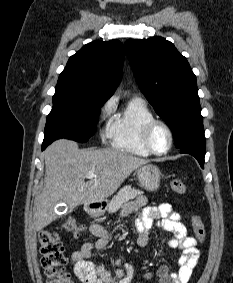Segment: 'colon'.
Here are the masks:
<instances>
[{
	"label": "colon",
	"mask_w": 233,
	"mask_h": 283,
	"mask_svg": "<svg viewBox=\"0 0 233 283\" xmlns=\"http://www.w3.org/2000/svg\"><path fill=\"white\" fill-rule=\"evenodd\" d=\"M170 186L178 194L185 193L186 186L181 179H173ZM192 227L197 240L202 244L205 240V228L200 216L192 217ZM63 228L76 234L83 230V226L77 224L74 219H68ZM39 242L41 265L45 270L47 283H74L71 275L65 270L67 258L57 233L52 229H44L39 233Z\"/></svg>",
	"instance_id": "5ec220e1"
}]
</instances>
